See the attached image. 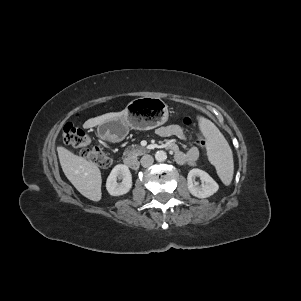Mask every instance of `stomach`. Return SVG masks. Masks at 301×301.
I'll return each mask as SVG.
<instances>
[{
  "mask_svg": "<svg viewBox=\"0 0 301 301\" xmlns=\"http://www.w3.org/2000/svg\"><path fill=\"white\" fill-rule=\"evenodd\" d=\"M168 119V109L156 97H141L131 101L123 117L106 121L98 127L100 137L117 142L128 133L129 128L150 130L164 124Z\"/></svg>",
  "mask_w": 301,
  "mask_h": 301,
  "instance_id": "0dacf381",
  "label": "stomach"
}]
</instances>
